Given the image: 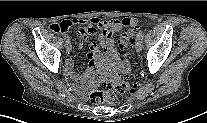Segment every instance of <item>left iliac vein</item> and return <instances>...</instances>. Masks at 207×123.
<instances>
[{
    "mask_svg": "<svg viewBox=\"0 0 207 123\" xmlns=\"http://www.w3.org/2000/svg\"><path fill=\"white\" fill-rule=\"evenodd\" d=\"M142 39L137 37L136 38V43H135V48L137 52H140L142 50Z\"/></svg>",
    "mask_w": 207,
    "mask_h": 123,
    "instance_id": "1",
    "label": "left iliac vein"
}]
</instances>
